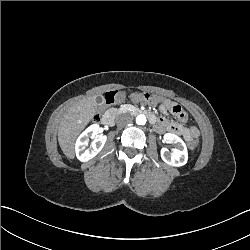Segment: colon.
Returning a JSON list of instances; mask_svg holds the SVG:
<instances>
[{"instance_id":"obj_1","label":"colon","mask_w":250,"mask_h":250,"mask_svg":"<svg viewBox=\"0 0 250 250\" xmlns=\"http://www.w3.org/2000/svg\"><path fill=\"white\" fill-rule=\"evenodd\" d=\"M126 91L124 90H115V91H110L105 94L104 96V102L106 105H111L117 102H122L126 98ZM139 99L143 100H151V97L147 93H138ZM174 113L179 117L180 120L185 121L186 120V114L181 111V108L179 106H176L173 109ZM96 118H98V115H96ZM187 145L188 148L191 150H196L197 149V141L193 139H188L187 140Z\"/></svg>"}]
</instances>
